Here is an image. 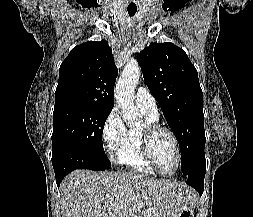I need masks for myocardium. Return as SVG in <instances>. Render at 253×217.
Wrapping results in <instances>:
<instances>
[{
  "mask_svg": "<svg viewBox=\"0 0 253 217\" xmlns=\"http://www.w3.org/2000/svg\"><path fill=\"white\" fill-rule=\"evenodd\" d=\"M159 133H166L172 139L175 150H176V166L171 172H164L160 169L158 164L156 163L154 156L152 154V141L155 136ZM140 144L142 154L147 161V163L160 175L163 176H172L177 173L181 165V148L175 133L168 127L162 126L160 124H145V126L140 131Z\"/></svg>",
  "mask_w": 253,
  "mask_h": 217,
  "instance_id": "1",
  "label": "myocardium"
}]
</instances>
